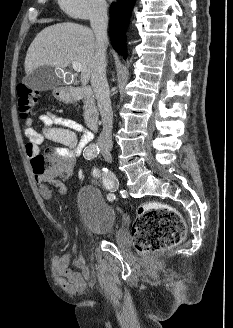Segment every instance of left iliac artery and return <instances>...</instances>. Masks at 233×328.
<instances>
[{
  "label": "left iliac artery",
  "instance_id": "1",
  "mask_svg": "<svg viewBox=\"0 0 233 328\" xmlns=\"http://www.w3.org/2000/svg\"><path fill=\"white\" fill-rule=\"evenodd\" d=\"M93 175L97 177L99 175V171L97 169H94L93 170Z\"/></svg>",
  "mask_w": 233,
  "mask_h": 328
}]
</instances>
